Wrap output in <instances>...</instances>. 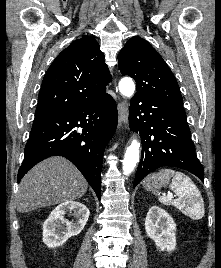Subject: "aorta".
<instances>
[{
  "label": "aorta",
  "instance_id": "1",
  "mask_svg": "<svg viewBox=\"0 0 221 268\" xmlns=\"http://www.w3.org/2000/svg\"><path fill=\"white\" fill-rule=\"evenodd\" d=\"M119 91L125 97H132L135 91V84L131 78H122L119 82ZM139 160V144L133 139L127 147L123 160V173L129 175L136 167Z\"/></svg>",
  "mask_w": 221,
  "mask_h": 268
}]
</instances>
